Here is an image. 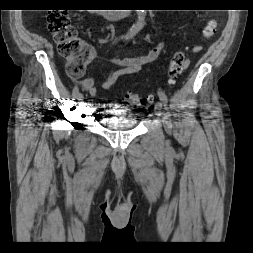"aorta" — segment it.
I'll return each mask as SVG.
<instances>
[{
    "instance_id": "obj_1",
    "label": "aorta",
    "mask_w": 253,
    "mask_h": 253,
    "mask_svg": "<svg viewBox=\"0 0 253 253\" xmlns=\"http://www.w3.org/2000/svg\"><path fill=\"white\" fill-rule=\"evenodd\" d=\"M145 10H137V16L138 20L135 25L130 29V31L127 33L128 38H132L136 34L139 33V31L144 27V21H145Z\"/></svg>"
}]
</instances>
